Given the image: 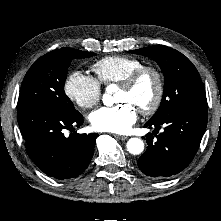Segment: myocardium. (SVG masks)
<instances>
[{
    "mask_svg": "<svg viewBox=\"0 0 221 221\" xmlns=\"http://www.w3.org/2000/svg\"><path fill=\"white\" fill-rule=\"evenodd\" d=\"M146 73H151L155 78L156 92L153 101L150 105L139 108L138 111L142 115H151L155 113L160 107L164 96V78L161 71L153 65H143L140 68L134 70L124 80L119 83V87L123 89L133 88L139 79Z\"/></svg>",
    "mask_w": 221,
    "mask_h": 221,
    "instance_id": "f54148a6",
    "label": "myocardium"
}]
</instances>
